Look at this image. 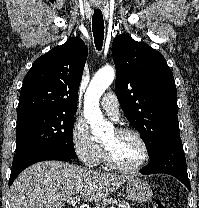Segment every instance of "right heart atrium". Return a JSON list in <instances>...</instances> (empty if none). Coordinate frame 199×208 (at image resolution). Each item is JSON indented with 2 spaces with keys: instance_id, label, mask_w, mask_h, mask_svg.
I'll return each mask as SVG.
<instances>
[{
  "instance_id": "d8ad5b80",
  "label": "right heart atrium",
  "mask_w": 199,
  "mask_h": 208,
  "mask_svg": "<svg viewBox=\"0 0 199 208\" xmlns=\"http://www.w3.org/2000/svg\"><path fill=\"white\" fill-rule=\"evenodd\" d=\"M71 140L74 151L86 165H97L102 149L91 136L84 120L80 118L75 119L71 130Z\"/></svg>"
}]
</instances>
